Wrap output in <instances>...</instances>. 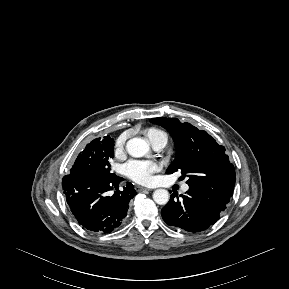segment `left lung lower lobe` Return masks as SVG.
Segmentation results:
<instances>
[{"label": "left lung lower lobe", "mask_w": 289, "mask_h": 289, "mask_svg": "<svg viewBox=\"0 0 289 289\" xmlns=\"http://www.w3.org/2000/svg\"><path fill=\"white\" fill-rule=\"evenodd\" d=\"M229 202L230 199L224 196L189 187L186 195H180V198L177 193L172 194L161 215L169 226L199 232L215 224Z\"/></svg>", "instance_id": "1"}]
</instances>
